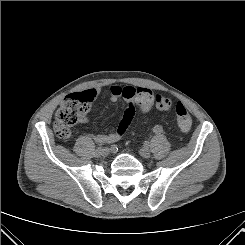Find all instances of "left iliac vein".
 <instances>
[{
  "label": "left iliac vein",
  "instance_id": "1",
  "mask_svg": "<svg viewBox=\"0 0 245 245\" xmlns=\"http://www.w3.org/2000/svg\"><path fill=\"white\" fill-rule=\"evenodd\" d=\"M139 154H140L142 157H144V158H149L150 155H151L149 149L146 148V147L141 148V149L139 150Z\"/></svg>",
  "mask_w": 245,
  "mask_h": 245
}]
</instances>
